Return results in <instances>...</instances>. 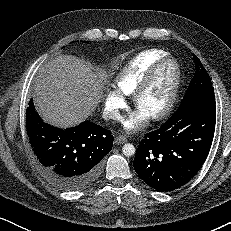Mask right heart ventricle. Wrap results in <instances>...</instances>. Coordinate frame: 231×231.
<instances>
[{
  "label": "right heart ventricle",
  "mask_w": 231,
  "mask_h": 231,
  "mask_svg": "<svg viewBox=\"0 0 231 231\" xmlns=\"http://www.w3.org/2000/svg\"><path fill=\"white\" fill-rule=\"evenodd\" d=\"M168 53L160 49L145 50L133 57L115 76L114 83L125 95H132L150 67Z\"/></svg>",
  "instance_id": "1"
}]
</instances>
